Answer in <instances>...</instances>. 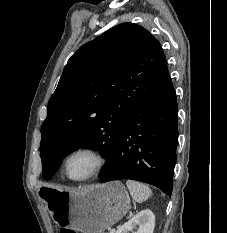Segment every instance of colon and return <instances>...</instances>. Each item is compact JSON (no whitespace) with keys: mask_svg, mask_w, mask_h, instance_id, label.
<instances>
[{"mask_svg":"<svg viewBox=\"0 0 227 233\" xmlns=\"http://www.w3.org/2000/svg\"><path fill=\"white\" fill-rule=\"evenodd\" d=\"M60 233H77V232L71 229H61Z\"/></svg>","mask_w":227,"mask_h":233,"instance_id":"1","label":"colon"}]
</instances>
